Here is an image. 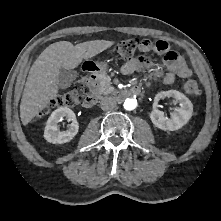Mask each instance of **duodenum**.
Listing matches in <instances>:
<instances>
[{
	"mask_svg": "<svg viewBox=\"0 0 221 221\" xmlns=\"http://www.w3.org/2000/svg\"><path fill=\"white\" fill-rule=\"evenodd\" d=\"M97 72H98V68L95 67L94 65L86 68L87 76H89L91 78H95V76L97 75ZM139 93H140L139 87H132L128 90H123V91L117 92L116 98L119 100H122V99H125L130 96L138 95ZM96 102H97V97L93 94H90V95L86 96L85 99L83 100V106L89 108V107H92L93 105H95Z\"/></svg>",
	"mask_w": 221,
	"mask_h": 221,
	"instance_id": "410a0bca",
	"label": "duodenum"
}]
</instances>
